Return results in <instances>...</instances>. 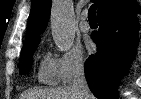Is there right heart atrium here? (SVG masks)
I'll list each match as a JSON object with an SVG mask.
<instances>
[{"label": "right heart atrium", "mask_w": 141, "mask_h": 99, "mask_svg": "<svg viewBox=\"0 0 141 99\" xmlns=\"http://www.w3.org/2000/svg\"><path fill=\"white\" fill-rule=\"evenodd\" d=\"M58 78L61 82L68 83L84 71L85 58L77 48L60 54L56 59Z\"/></svg>", "instance_id": "right-heart-atrium-1"}]
</instances>
